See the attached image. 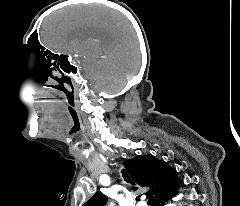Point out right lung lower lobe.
Here are the masks:
<instances>
[{"label": "right lung lower lobe", "mask_w": 240, "mask_h": 206, "mask_svg": "<svg viewBox=\"0 0 240 206\" xmlns=\"http://www.w3.org/2000/svg\"><path fill=\"white\" fill-rule=\"evenodd\" d=\"M176 194V191L173 192L172 194L160 199L157 203L156 206H163V204L165 203V201H167L168 199H170L171 197H173Z\"/></svg>", "instance_id": "1"}]
</instances>
